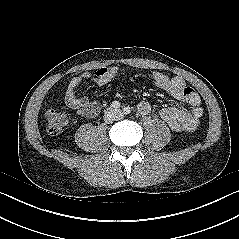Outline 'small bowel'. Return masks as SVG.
Instances as JSON below:
<instances>
[{
	"mask_svg": "<svg viewBox=\"0 0 239 239\" xmlns=\"http://www.w3.org/2000/svg\"><path fill=\"white\" fill-rule=\"evenodd\" d=\"M117 75L118 68L116 66H109L101 68L94 73H85L73 77L66 91V103L84 117H95L100 110V104L80 96L76 91L77 87L83 79H90L97 85L102 86L112 81ZM152 79L158 88L167 92L176 101L183 102L185 100L183 90L186 84L181 77H169L163 72H154ZM137 110L140 114L147 115L151 111V105L147 101H141L137 105ZM203 113V109L200 106H195L190 111L179 106H171L162 108L160 116L172 130L189 132L198 127Z\"/></svg>",
	"mask_w": 239,
	"mask_h": 239,
	"instance_id": "1",
	"label": "small bowel"
}]
</instances>
